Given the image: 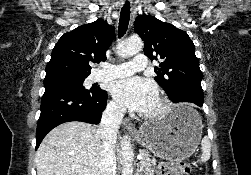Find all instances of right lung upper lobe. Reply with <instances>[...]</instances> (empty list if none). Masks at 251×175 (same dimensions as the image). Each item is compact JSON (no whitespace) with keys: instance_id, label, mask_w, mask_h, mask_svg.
<instances>
[{"instance_id":"obj_1","label":"right lung upper lobe","mask_w":251,"mask_h":175,"mask_svg":"<svg viewBox=\"0 0 251 175\" xmlns=\"http://www.w3.org/2000/svg\"><path fill=\"white\" fill-rule=\"evenodd\" d=\"M113 37L114 28L103 19L65 33L52 50L45 79L87 77L92 62L106 59Z\"/></svg>"}]
</instances>
